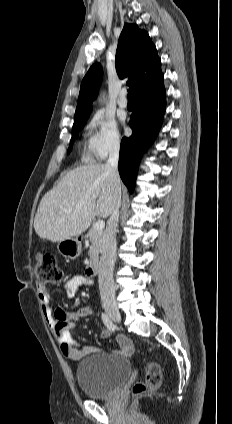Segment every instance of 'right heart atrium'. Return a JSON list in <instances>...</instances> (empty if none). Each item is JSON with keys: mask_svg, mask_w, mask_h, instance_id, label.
I'll list each match as a JSON object with an SVG mask.
<instances>
[{"mask_svg": "<svg viewBox=\"0 0 232 424\" xmlns=\"http://www.w3.org/2000/svg\"><path fill=\"white\" fill-rule=\"evenodd\" d=\"M92 129L89 150L99 159L119 150L121 136L116 122L103 112L95 113L90 121Z\"/></svg>", "mask_w": 232, "mask_h": 424, "instance_id": "right-heart-atrium-1", "label": "right heart atrium"}]
</instances>
